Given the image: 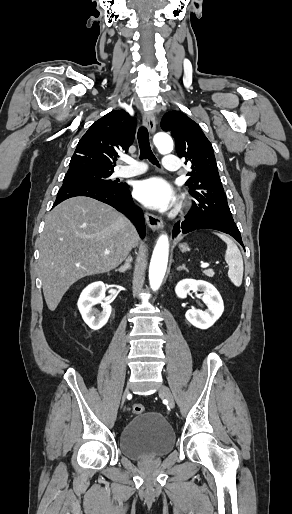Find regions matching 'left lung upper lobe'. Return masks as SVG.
I'll return each mask as SVG.
<instances>
[{"label": "left lung upper lobe", "instance_id": "1", "mask_svg": "<svg viewBox=\"0 0 292 514\" xmlns=\"http://www.w3.org/2000/svg\"><path fill=\"white\" fill-rule=\"evenodd\" d=\"M161 128L171 132L177 155L190 166L186 181L195 208L202 215L232 217L218 173L212 144L200 126L181 111H169L161 120Z\"/></svg>", "mask_w": 292, "mask_h": 514}]
</instances>
